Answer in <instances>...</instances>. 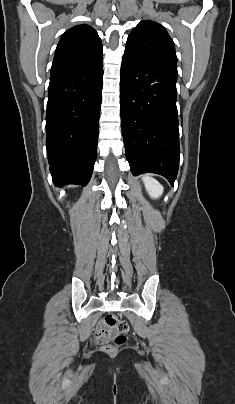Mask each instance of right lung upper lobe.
Listing matches in <instances>:
<instances>
[{"instance_id":"right-lung-upper-lobe-1","label":"right lung upper lobe","mask_w":235,"mask_h":404,"mask_svg":"<svg viewBox=\"0 0 235 404\" xmlns=\"http://www.w3.org/2000/svg\"><path fill=\"white\" fill-rule=\"evenodd\" d=\"M103 58V47L97 32L86 24L76 25L60 38L52 69L93 63Z\"/></svg>"}]
</instances>
